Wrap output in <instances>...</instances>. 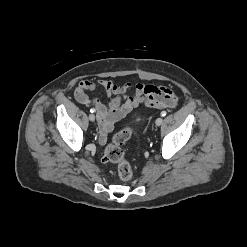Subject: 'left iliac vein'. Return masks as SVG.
Listing matches in <instances>:
<instances>
[{"mask_svg":"<svg viewBox=\"0 0 247 247\" xmlns=\"http://www.w3.org/2000/svg\"><path fill=\"white\" fill-rule=\"evenodd\" d=\"M162 122H163L162 118H157L155 123L157 126H160L162 124Z\"/></svg>","mask_w":247,"mask_h":247,"instance_id":"4c4485c4","label":"left iliac vein"}]
</instances>
